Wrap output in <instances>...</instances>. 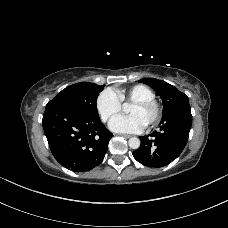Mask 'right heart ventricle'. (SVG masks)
I'll use <instances>...</instances> for the list:
<instances>
[{"label": "right heart ventricle", "mask_w": 228, "mask_h": 228, "mask_svg": "<svg viewBox=\"0 0 228 228\" xmlns=\"http://www.w3.org/2000/svg\"><path fill=\"white\" fill-rule=\"evenodd\" d=\"M121 101L134 102L137 100H149L155 98L154 91L142 84L134 85L125 90H116Z\"/></svg>", "instance_id": "e07e8e85"}]
</instances>
